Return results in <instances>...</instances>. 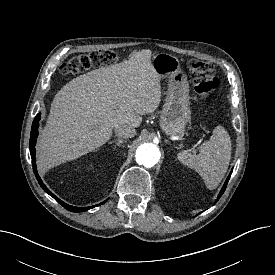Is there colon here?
Wrapping results in <instances>:
<instances>
[{
    "label": "colon",
    "instance_id": "5ec220e1",
    "mask_svg": "<svg viewBox=\"0 0 275 275\" xmlns=\"http://www.w3.org/2000/svg\"><path fill=\"white\" fill-rule=\"evenodd\" d=\"M116 60L117 55L111 50L96 51L71 58L61 65L60 71L65 75H74L93 68L110 65ZM188 69L194 89L199 95L207 96L219 86V80L211 63L191 59L188 62Z\"/></svg>",
    "mask_w": 275,
    "mask_h": 275
}]
</instances>
